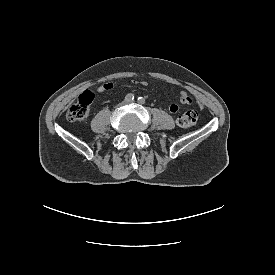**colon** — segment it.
Returning <instances> with one entry per match:
<instances>
[{"label": "colon", "mask_w": 275, "mask_h": 275, "mask_svg": "<svg viewBox=\"0 0 275 275\" xmlns=\"http://www.w3.org/2000/svg\"><path fill=\"white\" fill-rule=\"evenodd\" d=\"M94 99V94L90 90L84 91L78 97L76 103L71 105L66 112V117L72 122H82L88 115L89 106ZM197 122L195 111H187L177 118V124L185 129L192 128Z\"/></svg>", "instance_id": "obj_1"}]
</instances>
